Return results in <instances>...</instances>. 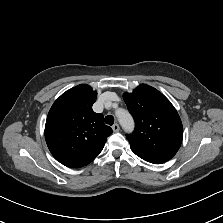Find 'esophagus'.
<instances>
[{
  "mask_svg": "<svg viewBox=\"0 0 223 223\" xmlns=\"http://www.w3.org/2000/svg\"><path fill=\"white\" fill-rule=\"evenodd\" d=\"M112 130H113L114 132H118V131L120 130V126H119V124L115 123V124L112 126Z\"/></svg>",
  "mask_w": 223,
  "mask_h": 223,
  "instance_id": "esophagus-1",
  "label": "esophagus"
}]
</instances>
